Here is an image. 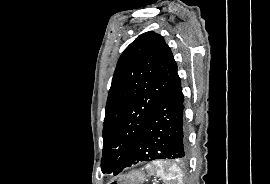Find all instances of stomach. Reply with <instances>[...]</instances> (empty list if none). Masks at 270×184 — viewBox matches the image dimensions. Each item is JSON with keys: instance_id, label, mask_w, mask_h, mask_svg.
<instances>
[{"instance_id": "obj_1", "label": "stomach", "mask_w": 270, "mask_h": 184, "mask_svg": "<svg viewBox=\"0 0 270 184\" xmlns=\"http://www.w3.org/2000/svg\"><path fill=\"white\" fill-rule=\"evenodd\" d=\"M147 176L142 171H132L112 179L108 184H142Z\"/></svg>"}]
</instances>
